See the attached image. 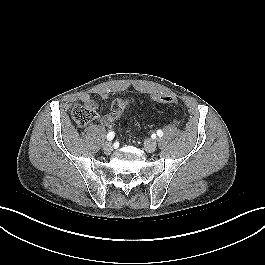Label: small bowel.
<instances>
[{
    "instance_id": "c3829d8e",
    "label": "small bowel",
    "mask_w": 265,
    "mask_h": 265,
    "mask_svg": "<svg viewBox=\"0 0 265 265\" xmlns=\"http://www.w3.org/2000/svg\"><path fill=\"white\" fill-rule=\"evenodd\" d=\"M162 96H165L164 94H155L153 95L151 98L154 100V101H157V102H161L160 101V98ZM80 101H82L83 103L85 104H88V105H91L93 106L94 108H96L97 104L96 102L93 100V98L88 95V94H83L80 96ZM141 119H144V116H141ZM98 122L101 126L103 127H109L113 124V119L110 118V116L108 114H105V115H101L98 117Z\"/></svg>"
}]
</instances>
